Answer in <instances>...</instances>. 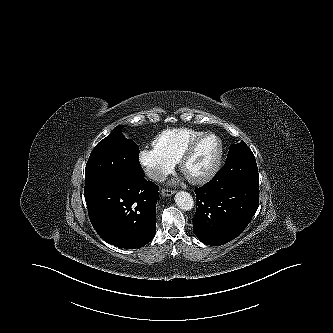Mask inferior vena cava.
<instances>
[{"mask_svg":"<svg viewBox=\"0 0 333 333\" xmlns=\"http://www.w3.org/2000/svg\"><path fill=\"white\" fill-rule=\"evenodd\" d=\"M147 175L155 180V181H159L162 182L166 179V174L164 172H162L161 170L158 169H150L147 171Z\"/></svg>","mask_w":333,"mask_h":333,"instance_id":"inferior-vena-cava-1","label":"inferior vena cava"}]
</instances>
